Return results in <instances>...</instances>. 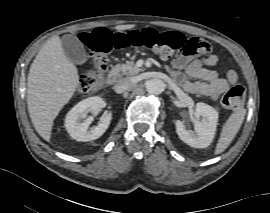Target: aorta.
<instances>
[{"label":"aorta","instance_id":"aorta-1","mask_svg":"<svg viewBox=\"0 0 270 213\" xmlns=\"http://www.w3.org/2000/svg\"><path fill=\"white\" fill-rule=\"evenodd\" d=\"M165 84L161 79L153 78L146 82V90L149 94L159 95L164 91Z\"/></svg>","mask_w":270,"mask_h":213}]
</instances>
